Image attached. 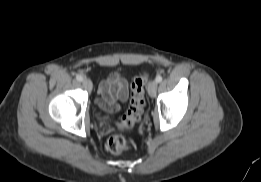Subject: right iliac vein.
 <instances>
[{
  "instance_id": "right-iliac-vein-1",
  "label": "right iliac vein",
  "mask_w": 261,
  "mask_h": 182,
  "mask_svg": "<svg viewBox=\"0 0 261 182\" xmlns=\"http://www.w3.org/2000/svg\"><path fill=\"white\" fill-rule=\"evenodd\" d=\"M82 84H83L84 88L87 89L88 91H91L92 88H93L92 82H91L89 79H87V78H85V79L82 81Z\"/></svg>"
}]
</instances>
